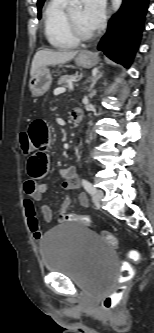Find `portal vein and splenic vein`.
I'll list each match as a JSON object with an SVG mask.
<instances>
[{
  "label": "portal vein and splenic vein",
  "mask_w": 154,
  "mask_h": 333,
  "mask_svg": "<svg viewBox=\"0 0 154 333\" xmlns=\"http://www.w3.org/2000/svg\"><path fill=\"white\" fill-rule=\"evenodd\" d=\"M70 88H73L72 85H70ZM64 91H65V89H57V90L54 91V94L57 95V94H60Z\"/></svg>",
  "instance_id": "obj_1"
}]
</instances>
